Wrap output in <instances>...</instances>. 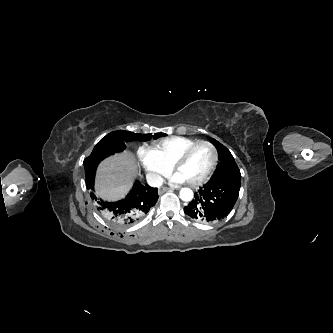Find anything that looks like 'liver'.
Here are the masks:
<instances>
[{"mask_svg": "<svg viewBox=\"0 0 333 333\" xmlns=\"http://www.w3.org/2000/svg\"><path fill=\"white\" fill-rule=\"evenodd\" d=\"M138 175L136 159L130 152L103 160L97 169L96 194L106 200L123 198Z\"/></svg>", "mask_w": 333, "mask_h": 333, "instance_id": "liver-1", "label": "liver"}]
</instances>
